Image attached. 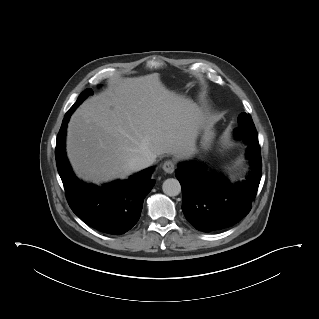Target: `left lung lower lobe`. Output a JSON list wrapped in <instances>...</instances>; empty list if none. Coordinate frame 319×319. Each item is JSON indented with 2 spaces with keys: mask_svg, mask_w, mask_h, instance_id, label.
I'll list each match as a JSON object with an SVG mask.
<instances>
[{
  "mask_svg": "<svg viewBox=\"0 0 319 319\" xmlns=\"http://www.w3.org/2000/svg\"><path fill=\"white\" fill-rule=\"evenodd\" d=\"M236 137L248 142L246 156L252 161L247 180L231 184L207 173L195 163L180 164L175 171L182 186V210L199 231L210 232L233 226L251 210L261 177V154L256 129L236 128Z\"/></svg>",
  "mask_w": 319,
  "mask_h": 319,
  "instance_id": "left-lung-lower-lobe-1",
  "label": "left lung lower lobe"
}]
</instances>
